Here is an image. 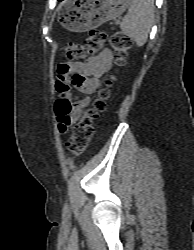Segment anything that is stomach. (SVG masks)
Returning <instances> with one entry per match:
<instances>
[{
	"mask_svg": "<svg viewBox=\"0 0 194 250\" xmlns=\"http://www.w3.org/2000/svg\"><path fill=\"white\" fill-rule=\"evenodd\" d=\"M132 0H65L58 19L68 30L84 32L119 17Z\"/></svg>",
	"mask_w": 194,
	"mask_h": 250,
	"instance_id": "stomach-1",
	"label": "stomach"
}]
</instances>
